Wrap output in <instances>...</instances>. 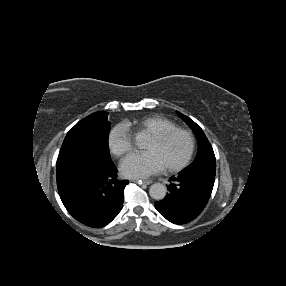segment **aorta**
<instances>
[{"label": "aorta", "mask_w": 286, "mask_h": 286, "mask_svg": "<svg viewBox=\"0 0 286 286\" xmlns=\"http://www.w3.org/2000/svg\"><path fill=\"white\" fill-rule=\"evenodd\" d=\"M167 192V188L162 183H154L149 188V194L151 198L155 200H162L164 199Z\"/></svg>", "instance_id": "aorta-1"}]
</instances>
